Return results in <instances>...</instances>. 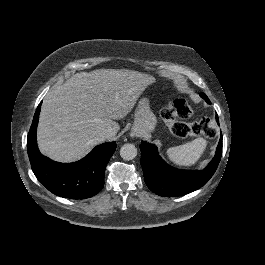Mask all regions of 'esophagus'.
Masks as SVG:
<instances>
[{"label": "esophagus", "mask_w": 265, "mask_h": 265, "mask_svg": "<svg viewBox=\"0 0 265 265\" xmlns=\"http://www.w3.org/2000/svg\"><path fill=\"white\" fill-rule=\"evenodd\" d=\"M131 136L135 137V136H136V134H135L134 132H131Z\"/></svg>", "instance_id": "esophagus-1"}]
</instances>
